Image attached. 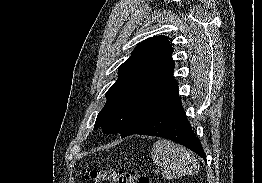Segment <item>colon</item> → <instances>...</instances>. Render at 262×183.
Returning a JSON list of instances; mask_svg holds the SVG:
<instances>
[{
    "label": "colon",
    "instance_id": "obj_1",
    "mask_svg": "<svg viewBox=\"0 0 262 183\" xmlns=\"http://www.w3.org/2000/svg\"><path fill=\"white\" fill-rule=\"evenodd\" d=\"M85 179L94 183H151L147 176L116 170H91L85 174Z\"/></svg>",
    "mask_w": 262,
    "mask_h": 183
}]
</instances>
